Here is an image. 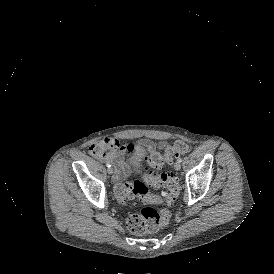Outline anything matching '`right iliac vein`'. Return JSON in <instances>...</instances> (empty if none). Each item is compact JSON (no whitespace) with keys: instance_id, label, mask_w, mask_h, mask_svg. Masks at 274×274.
<instances>
[{"instance_id":"1","label":"right iliac vein","mask_w":274,"mask_h":274,"mask_svg":"<svg viewBox=\"0 0 274 274\" xmlns=\"http://www.w3.org/2000/svg\"><path fill=\"white\" fill-rule=\"evenodd\" d=\"M108 173H109V174H113V173H114V170H113L112 167H109V168H108Z\"/></svg>"}]
</instances>
